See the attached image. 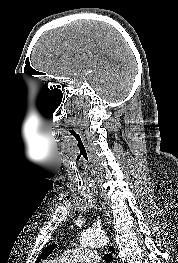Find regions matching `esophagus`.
Wrapping results in <instances>:
<instances>
[{
  "instance_id": "34e87169",
  "label": "esophagus",
  "mask_w": 178,
  "mask_h": 263,
  "mask_svg": "<svg viewBox=\"0 0 178 263\" xmlns=\"http://www.w3.org/2000/svg\"><path fill=\"white\" fill-rule=\"evenodd\" d=\"M105 215L107 217V221H110V215L109 212L106 210V207H104ZM108 251L112 254V263H117V255H116V249L113 243H110L108 245Z\"/></svg>"
}]
</instances>
